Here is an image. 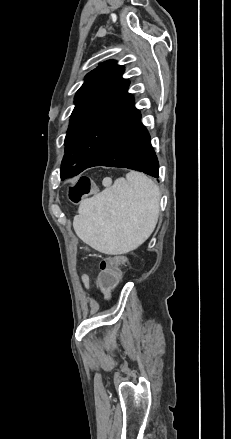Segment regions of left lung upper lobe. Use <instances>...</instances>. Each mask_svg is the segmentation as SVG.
I'll list each match as a JSON object with an SVG mask.
<instances>
[{"label": "left lung upper lobe", "instance_id": "left-lung-upper-lobe-1", "mask_svg": "<svg viewBox=\"0 0 231 439\" xmlns=\"http://www.w3.org/2000/svg\"><path fill=\"white\" fill-rule=\"evenodd\" d=\"M124 68L115 61L99 64L85 77L75 96V108L65 138L62 180L78 175L91 162L110 133L134 106L127 92Z\"/></svg>", "mask_w": 231, "mask_h": 439}]
</instances>
